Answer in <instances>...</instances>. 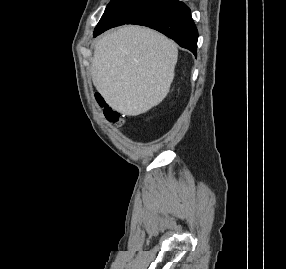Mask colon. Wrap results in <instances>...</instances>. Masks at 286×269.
<instances>
[{"label": "colon", "mask_w": 286, "mask_h": 269, "mask_svg": "<svg viewBox=\"0 0 286 269\" xmlns=\"http://www.w3.org/2000/svg\"><path fill=\"white\" fill-rule=\"evenodd\" d=\"M99 102L101 103L100 100ZM104 115L108 121L115 125L121 126L124 122L120 114L108 106H104Z\"/></svg>", "instance_id": "5ec220e1"}]
</instances>
